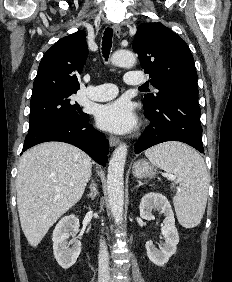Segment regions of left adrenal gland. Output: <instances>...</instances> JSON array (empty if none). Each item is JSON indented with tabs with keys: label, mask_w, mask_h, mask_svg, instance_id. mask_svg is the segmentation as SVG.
<instances>
[{
	"label": "left adrenal gland",
	"mask_w": 232,
	"mask_h": 282,
	"mask_svg": "<svg viewBox=\"0 0 232 282\" xmlns=\"http://www.w3.org/2000/svg\"><path fill=\"white\" fill-rule=\"evenodd\" d=\"M141 185H144V183H142L141 181H138L137 187H140Z\"/></svg>",
	"instance_id": "1"
}]
</instances>
